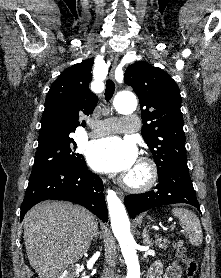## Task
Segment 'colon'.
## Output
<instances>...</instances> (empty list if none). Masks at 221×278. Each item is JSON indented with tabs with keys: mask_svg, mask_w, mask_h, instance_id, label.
I'll list each match as a JSON object with an SVG mask.
<instances>
[{
	"mask_svg": "<svg viewBox=\"0 0 221 278\" xmlns=\"http://www.w3.org/2000/svg\"><path fill=\"white\" fill-rule=\"evenodd\" d=\"M176 255L183 261L185 265V278H196L198 264L196 260L187 256L186 247L182 242H176L173 245Z\"/></svg>",
	"mask_w": 221,
	"mask_h": 278,
	"instance_id": "colon-1",
	"label": "colon"
}]
</instances>
